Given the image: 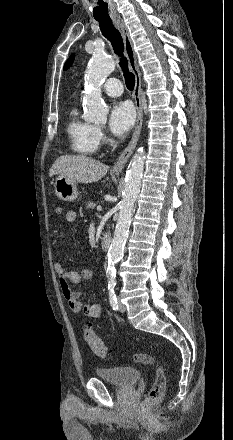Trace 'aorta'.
<instances>
[{
    "label": "aorta",
    "instance_id": "aorta-1",
    "mask_svg": "<svg viewBox=\"0 0 233 440\" xmlns=\"http://www.w3.org/2000/svg\"><path fill=\"white\" fill-rule=\"evenodd\" d=\"M116 63L112 58L102 53H95L87 70V84L89 88L85 94L84 118L89 122L105 123L109 112L101 97V85L108 75L115 69ZM145 154L140 148L130 161L125 177L123 198L120 202L119 217L112 243L108 251L107 275L110 280L115 278L116 263L124 253V246L128 238L129 226L133 216L135 203L140 191L144 169Z\"/></svg>",
    "mask_w": 233,
    "mask_h": 440
}]
</instances>
